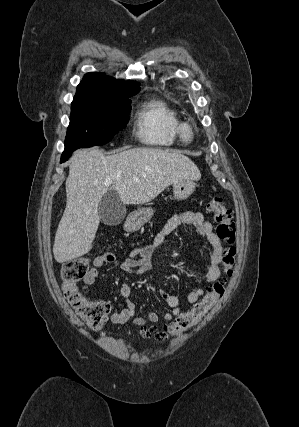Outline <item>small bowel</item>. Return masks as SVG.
<instances>
[{
  "label": "small bowel",
  "instance_id": "1",
  "mask_svg": "<svg viewBox=\"0 0 299 427\" xmlns=\"http://www.w3.org/2000/svg\"><path fill=\"white\" fill-rule=\"evenodd\" d=\"M181 225L191 226L195 228L199 234L207 238L211 247V253L205 264L206 281L208 283L216 282L220 278V265L223 261L225 248L219 237L214 233L211 222L206 220L201 212L187 210L168 219L154 236L152 243L135 247L130 251L129 256L125 260L119 261L113 253L109 252L96 256L93 259L91 269L84 277V289L88 290V288L96 282L99 276V270L104 264H113L131 275L152 272L154 270L155 251L160 248L167 237ZM119 293L123 300V308L120 312L111 315L110 320L113 324H124L131 321L138 327H146L147 324L156 323L159 320V315L156 312H150L146 317H138L135 315V305L131 299V286L128 283H123L121 285ZM160 295L171 308L170 311L162 315L164 321H171L181 314L177 296L166 291H161ZM203 295V288H195L189 292L187 300L189 303L193 304Z\"/></svg>",
  "mask_w": 299,
  "mask_h": 427
}]
</instances>
